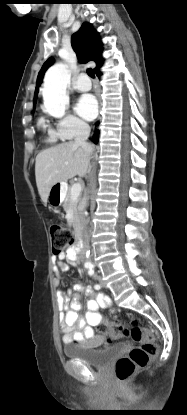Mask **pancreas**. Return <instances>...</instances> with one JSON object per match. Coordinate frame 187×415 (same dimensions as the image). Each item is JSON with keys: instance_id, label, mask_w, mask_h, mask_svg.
Segmentation results:
<instances>
[{"instance_id": "1", "label": "pancreas", "mask_w": 187, "mask_h": 415, "mask_svg": "<svg viewBox=\"0 0 187 415\" xmlns=\"http://www.w3.org/2000/svg\"><path fill=\"white\" fill-rule=\"evenodd\" d=\"M79 199L73 200L71 196V187L67 189L66 196L63 202V208L65 211L71 210L73 213V226L74 228L79 224V211H78Z\"/></svg>"}]
</instances>
